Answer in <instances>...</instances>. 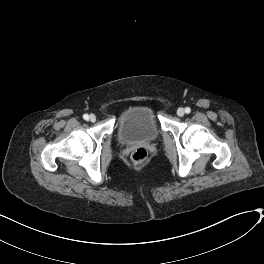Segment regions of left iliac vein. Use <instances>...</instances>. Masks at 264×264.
I'll list each match as a JSON object with an SVG mask.
<instances>
[{
	"mask_svg": "<svg viewBox=\"0 0 264 264\" xmlns=\"http://www.w3.org/2000/svg\"><path fill=\"white\" fill-rule=\"evenodd\" d=\"M184 114H185V110L183 108H178L177 115L179 117H182V116H184Z\"/></svg>",
	"mask_w": 264,
	"mask_h": 264,
	"instance_id": "1",
	"label": "left iliac vein"
}]
</instances>
